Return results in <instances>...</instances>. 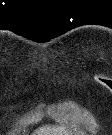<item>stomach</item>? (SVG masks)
<instances>
[{
    "label": "stomach",
    "mask_w": 112,
    "mask_h": 135,
    "mask_svg": "<svg viewBox=\"0 0 112 135\" xmlns=\"http://www.w3.org/2000/svg\"><path fill=\"white\" fill-rule=\"evenodd\" d=\"M79 134H81V133L75 132V131H69V132L65 133V135H79Z\"/></svg>",
    "instance_id": "stomach-1"
}]
</instances>
